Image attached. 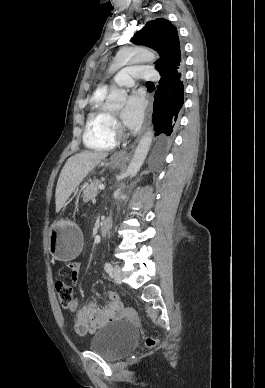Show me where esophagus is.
Masks as SVG:
<instances>
[{
    "instance_id": "1",
    "label": "esophagus",
    "mask_w": 265,
    "mask_h": 388,
    "mask_svg": "<svg viewBox=\"0 0 265 388\" xmlns=\"http://www.w3.org/2000/svg\"><path fill=\"white\" fill-rule=\"evenodd\" d=\"M151 116H152V108H149L146 111L143 128H142L141 132L139 133L138 139L141 137V135L144 133L146 127L149 125V123L151 121ZM137 141L138 140H136L134 143H132V145H129V147L121 150L120 152H117L115 154V157L123 162H127L132 157V154H133L134 149L136 147Z\"/></svg>"
}]
</instances>
